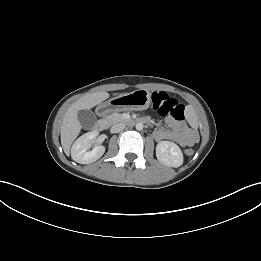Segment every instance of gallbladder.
I'll return each mask as SVG.
<instances>
[{
	"label": "gallbladder",
	"mask_w": 261,
	"mask_h": 261,
	"mask_svg": "<svg viewBox=\"0 0 261 261\" xmlns=\"http://www.w3.org/2000/svg\"><path fill=\"white\" fill-rule=\"evenodd\" d=\"M78 120L84 129H91L96 124V116L91 110L78 111Z\"/></svg>",
	"instance_id": "obj_1"
}]
</instances>
